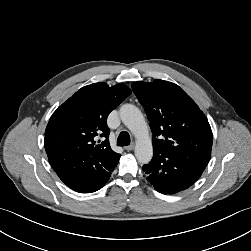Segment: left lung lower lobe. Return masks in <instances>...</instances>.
Segmentation results:
<instances>
[{"label": "left lung lower lobe", "mask_w": 251, "mask_h": 251, "mask_svg": "<svg viewBox=\"0 0 251 251\" xmlns=\"http://www.w3.org/2000/svg\"><path fill=\"white\" fill-rule=\"evenodd\" d=\"M152 160L142 169L147 180L163 194H174L194 184L209 160L172 151L153 150Z\"/></svg>", "instance_id": "left-lung-lower-lobe-1"}]
</instances>
